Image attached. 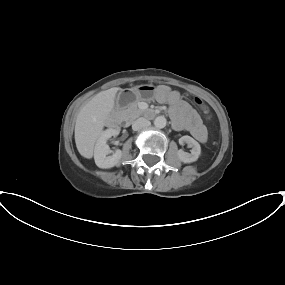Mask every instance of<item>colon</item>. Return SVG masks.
I'll list each match as a JSON object with an SVG mask.
<instances>
[{
    "label": "colon",
    "instance_id": "5ec220e1",
    "mask_svg": "<svg viewBox=\"0 0 285 285\" xmlns=\"http://www.w3.org/2000/svg\"><path fill=\"white\" fill-rule=\"evenodd\" d=\"M131 95L130 96H125L124 99L125 100H130ZM195 103L200 106L204 111H206V107L203 105L202 101L199 98L195 99Z\"/></svg>",
    "mask_w": 285,
    "mask_h": 285
}]
</instances>
